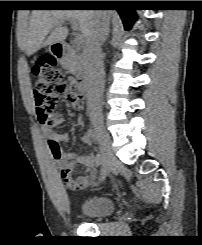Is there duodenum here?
Masks as SVG:
<instances>
[{
	"label": "duodenum",
	"mask_w": 202,
	"mask_h": 245,
	"mask_svg": "<svg viewBox=\"0 0 202 245\" xmlns=\"http://www.w3.org/2000/svg\"><path fill=\"white\" fill-rule=\"evenodd\" d=\"M55 57L60 59H72L76 57L73 46L66 42H57L52 47ZM75 87L82 94H90L92 92V81L85 74H80L75 82Z\"/></svg>",
	"instance_id": "410a0bca"
}]
</instances>
